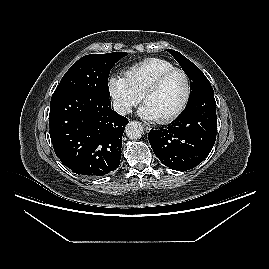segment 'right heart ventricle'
Segmentation results:
<instances>
[{"label":"right heart ventricle","instance_id":"obj_1","mask_svg":"<svg viewBox=\"0 0 269 269\" xmlns=\"http://www.w3.org/2000/svg\"><path fill=\"white\" fill-rule=\"evenodd\" d=\"M175 66L162 58H148L134 64L125 71V78L134 92L141 95L143 90L161 73Z\"/></svg>","mask_w":269,"mask_h":269}]
</instances>
